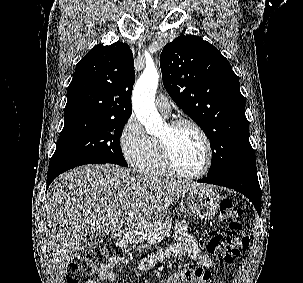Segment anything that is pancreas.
I'll use <instances>...</instances> for the list:
<instances>
[{"label": "pancreas", "mask_w": 303, "mask_h": 283, "mask_svg": "<svg viewBox=\"0 0 303 283\" xmlns=\"http://www.w3.org/2000/svg\"><path fill=\"white\" fill-rule=\"evenodd\" d=\"M172 228L170 221L155 220L147 221L131 227L127 230L126 236L122 239L120 246L137 243H157L169 235Z\"/></svg>", "instance_id": "cf45deb5"}]
</instances>
